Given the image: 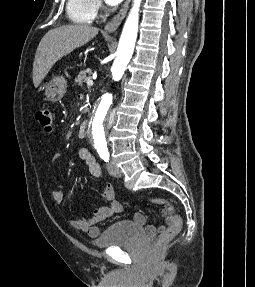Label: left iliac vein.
<instances>
[{
  "mask_svg": "<svg viewBox=\"0 0 255 287\" xmlns=\"http://www.w3.org/2000/svg\"><path fill=\"white\" fill-rule=\"evenodd\" d=\"M107 170H108L109 174L112 176L121 177V175H122L121 169L117 165H115L113 162H110L107 165Z\"/></svg>",
  "mask_w": 255,
  "mask_h": 287,
  "instance_id": "1",
  "label": "left iliac vein"
}]
</instances>
